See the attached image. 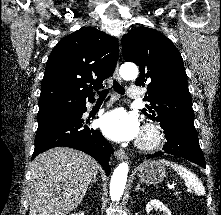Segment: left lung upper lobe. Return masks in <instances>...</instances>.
Masks as SVG:
<instances>
[{
	"label": "left lung upper lobe",
	"instance_id": "obj_1",
	"mask_svg": "<svg viewBox=\"0 0 221 215\" xmlns=\"http://www.w3.org/2000/svg\"><path fill=\"white\" fill-rule=\"evenodd\" d=\"M125 61L136 63L140 75L137 86H147L148 111L142 112L159 123L194 121L191 95L183 59L174 44L151 28L130 30L123 36Z\"/></svg>",
	"mask_w": 221,
	"mask_h": 215
}]
</instances>
